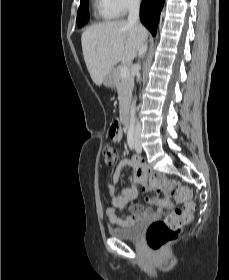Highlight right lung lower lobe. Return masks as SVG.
Returning a JSON list of instances; mask_svg holds the SVG:
<instances>
[{"label":"right lung lower lobe","instance_id":"obj_1","mask_svg":"<svg viewBox=\"0 0 229 280\" xmlns=\"http://www.w3.org/2000/svg\"><path fill=\"white\" fill-rule=\"evenodd\" d=\"M164 0H143L140 9L141 22L152 35L156 34L157 24Z\"/></svg>","mask_w":229,"mask_h":280}]
</instances>
